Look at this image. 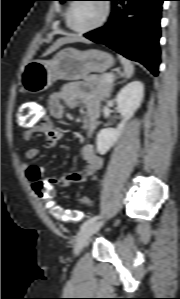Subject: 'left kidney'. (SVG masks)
Returning <instances> with one entry per match:
<instances>
[{
	"mask_svg": "<svg viewBox=\"0 0 180 299\" xmlns=\"http://www.w3.org/2000/svg\"><path fill=\"white\" fill-rule=\"evenodd\" d=\"M144 87L140 81H133L123 87L116 97L117 108L122 121L117 128H106L99 131L96 139L99 154H106L120 137L126 122L140 107L143 100Z\"/></svg>",
	"mask_w": 180,
	"mask_h": 299,
	"instance_id": "1",
	"label": "left kidney"
}]
</instances>
